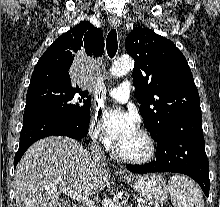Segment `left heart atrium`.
Wrapping results in <instances>:
<instances>
[{
	"label": "left heart atrium",
	"mask_w": 220,
	"mask_h": 207,
	"mask_svg": "<svg viewBox=\"0 0 220 207\" xmlns=\"http://www.w3.org/2000/svg\"><path fill=\"white\" fill-rule=\"evenodd\" d=\"M103 122L106 130L118 144L137 130L134 116L117 109L106 111L103 115Z\"/></svg>",
	"instance_id": "1"
}]
</instances>
